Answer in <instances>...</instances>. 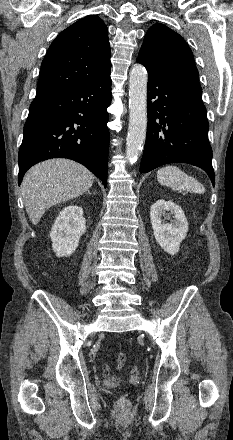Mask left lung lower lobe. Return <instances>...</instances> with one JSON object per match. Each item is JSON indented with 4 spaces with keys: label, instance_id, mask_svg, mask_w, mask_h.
I'll list each match as a JSON object with an SVG mask.
<instances>
[{
    "label": "left lung lower lobe",
    "instance_id": "0a47b994",
    "mask_svg": "<svg viewBox=\"0 0 233 440\" xmlns=\"http://www.w3.org/2000/svg\"><path fill=\"white\" fill-rule=\"evenodd\" d=\"M201 96L196 83L148 71L147 136L140 173L168 163H188L206 171L214 186L209 124Z\"/></svg>",
    "mask_w": 233,
    "mask_h": 440
}]
</instances>
